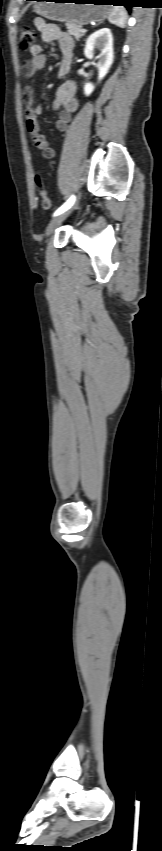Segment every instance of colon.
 <instances>
[{
	"label": "colon",
	"mask_w": 162,
	"mask_h": 851,
	"mask_svg": "<svg viewBox=\"0 0 162 851\" xmlns=\"http://www.w3.org/2000/svg\"><path fill=\"white\" fill-rule=\"evenodd\" d=\"M36 40L37 34L34 29L28 26L21 28L19 35V46L21 49L30 50L35 45ZM35 181L40 190L42 206L44 209H49L51 207V200L42 187L41 176L39 174H36Z\"/></svg>",
	"instance_id": "1"
}]
</instances>
